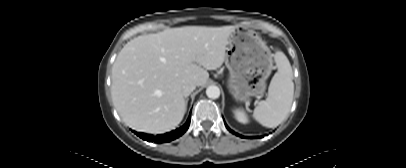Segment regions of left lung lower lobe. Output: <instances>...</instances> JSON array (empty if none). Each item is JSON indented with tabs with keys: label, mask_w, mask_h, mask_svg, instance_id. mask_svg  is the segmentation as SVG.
Returning <instances> with one entry per match:
<instances>
[{
	"label": "left lung lower lobe",
	"mask_w": 406,
	"mask_h": 168,
	"mask_svg": "<svg viewBox=\"0 0 406 168\" xmlns=\"http://www.w3.org/2000/svg\"><path fill=\"white\" fill-rule=\"evenodd\" d=\"M225 126H226V128H227L231 133L236 134L237 136H241V135L235 133L234 131H232L226 124H225ZM243 138H244V137H243ZM257 138H258V137H257Z\"/></svg>",
	"instance_id": "left-lung-lower-lobe-1"
}]
</instances>
